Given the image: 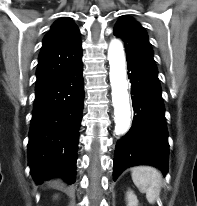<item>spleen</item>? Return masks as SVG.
<instances>
[{"mask_svg": "<svg viewBox=\"0 0 197 206\" xmlns=\"http://www.w3.org/2000/svg\"><path fill=\"white\" fill-rule=\"evenodd\" d=\"M131 176L139 191L146 194L147 201L154 204L161 191V173L150 166H137L132 169Z\"/></svg>", "mask_w": 197, "mask_h": 206, "instance_id": "spleen-1", "label": "spleen"}]
</instances>
